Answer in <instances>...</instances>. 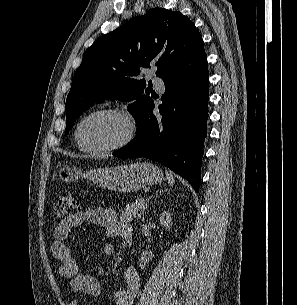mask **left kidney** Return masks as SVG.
I'll return each mask as SVG.
<instances>
[{
    "mask_svg": "<svg viewBox=\"0 0 297 305\" xmlns=\"http://www.w3.org/2000/svg\"><path fill=\"white\" fill-rule=\"evenodd\" d=\"M160 224L164 226L166 229L170 230L172 227V218L171 214L169 212H163L160 216ZM153 254L151 251H143L141 258H140V268H145V266L148 264V262L152 259Z\"/></svg>",
    "mask_w": 297,
    "mask_h": 305,
    "instance_id": "5707ae66",
    "label": "left kidney"
}]
</instances>
